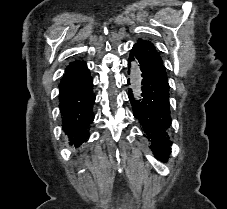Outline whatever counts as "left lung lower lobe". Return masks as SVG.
Returning <instances> with one entry per match:
<instances>
[{
	"label": "left lung lower lobe",
	"mask_w": 227,
	"mask_h": 209,
	"mask_svg": "<svg viewBox=\"0 0 227 209\" xmlns=\"http://www.w3.org/2000/svg\"><path fill=\"white\" fill-rule=\"evenodd\" d=\"M134 57L140 63L142 70V96L143 99L136 101L132 90L128 92L132 104L134 116L143 125L147 138L151 143L150 148L154 155L161 156L170 153L172 141L168 135L171 123L169 105V85L166 70L163 66L141 53L136 47L130 52V61ZM129 83V80H128Z\"/></svg>",
	"instance_id": "0a47b994"
}]
</instances>
